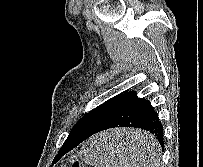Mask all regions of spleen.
Instances as JSON below:
<instances>
[{
	"mask_svg": "<svg viewBox=\"0 0 203 167\" xmlns=\"http://www.w3.org/2000/svg\"><path fill=\"white\" fill-rule=\"evenodd\" d=\"M137 141L145 147L139 153L138 161L143 164L140 167H161V148L154 136L144 132ZM113 145L114 138L109 135H96L82 148L81 156L86 164L94 167H127L125 161L119 160Z\"/></svg>",
	"mask_w": 203,
	"mask_h": 167,
	"instance_id": "obj_1",
	"label": "spleen"
}]
</instances>
